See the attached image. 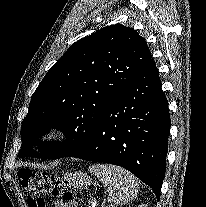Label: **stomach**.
Instances as JSON below:
<instances>
[{
  "instance_id": "1",
  "label": "stomach",
  "mask_w": 206,
  "mask_h": 207,
  "mask_svg": "<svg viewBox=\"0 0 206 207\" xmlns=\"http://www.w3.org/2000/svg\"><path fill=\"white\" fill-rule=\"evenodd\" d=\"M64 180L77 189L87 188L91 183L89 176L83 172H67L64 175Z\"/></svg>"
}]
</instances>
